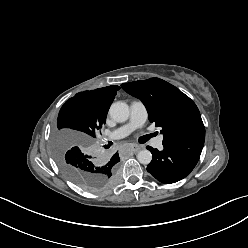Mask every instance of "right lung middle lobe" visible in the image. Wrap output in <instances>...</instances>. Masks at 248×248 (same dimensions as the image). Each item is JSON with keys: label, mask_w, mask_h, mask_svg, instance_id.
I'll list each match as a JSON object with an SVG mask.
<instances>
[{"label": "right lung middle lobe", "mask_w": 248, "mask_h": 248, "mask_svg": "<svg viewBox=\"0 0 248 248\" xmlns=\"http://www.w3.org/2000/svg\"><path fill=\"white\" fill-rule=\"evenodd\" d=\"M106 114L89 110L85 99L76 94L60 109L55 130V155L63 172L88 191H100L114 179L119 160L92 153L88 143L100 133ZM81 144L79 149L77 146ZM73 147L65 154L66 145Z\"/></svg>", "instance_id": "obj_1"}]
</instances>
